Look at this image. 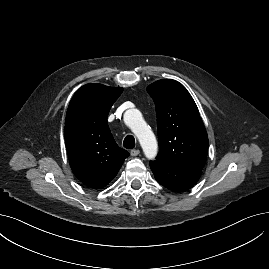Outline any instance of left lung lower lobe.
Segmentation results:
<instances>
[{"label": "left lung lower lobe", "mask_w": 269, "mask_h": 269, "mask_svg": "<svg viewBox=\"0 0 269 269\" xmlns=\"http://www.w3.org/2000/svg\"><path fill=\"white\" fill-rule=\"evenodd\" d=\"M155 179L164 187L175 192L190 189L199 180L202 170L167 164L160 161L150 162Z\"/></svg>", "instance_id": "left-lung-lower-lobe-1"}]
</instances>
